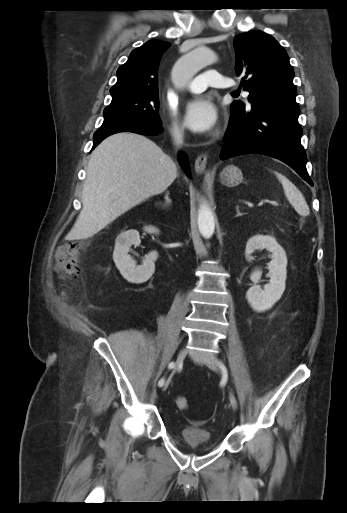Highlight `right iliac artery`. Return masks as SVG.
Instances as JSON below:
<instances>
[{
  "label": "right iliac artery",
  "mask_w": 347,
  "mask_h": 513,
  "mask_svg": "<svg viewBox=\"0 0 347 513\" xmlns=\"http://www.w3.org/2000/svg\"><path fill=\"white\" fill-rule=\"evenodd\" d=\"M174 367H175V363L174 362L169 363V365H168L169 369H173ZM164 382H165V380L163 378L160 379L159 382H158V386H160V387L163 386Z\"/></svg>",
  "instance_id": "obj_1"
}]
</instances>
